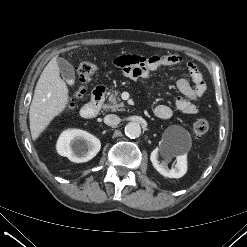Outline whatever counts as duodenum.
Instances as JSON below:
<instances>
[{
	"label": "duodenum",
	"instance_id": "obj_1",
	"mask_svg": "<svg viewBox=\"0 0 247 247\" xmlns=\"http://www.w3.org/2000/svg\"><path fill=\"white\" fill-rule=\"evenodd\" d=\"M105 88L103 86H97L91 95V100L82 107L81 109V116L85 119H92L94 118L102 105Z\"/></svg>",
	"mask_w": 247,
	"mask_h": 247
}]
</instances>
